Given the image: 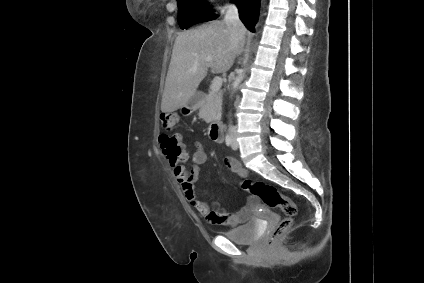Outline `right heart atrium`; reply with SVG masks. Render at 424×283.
Returning <instances> with one entry per match:
<instances>
[{
	"label": "right heart atrium",
	"mask_w": 424,
	"mask_h": 283,
	"mask_svg": "<svg viewBox=\"0 0 424 283\" xmlns=\"http://www.w3.org/2000/svg\"><path fill=\"white\" fill-rule=\"evenodd\" d=\"M229 3L228 0H205V4L207 7L211 9H216L218 7L227 6Z\"/></svg>",
	"instance_id": "obj_1"
}]
</instances>
